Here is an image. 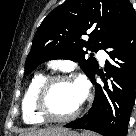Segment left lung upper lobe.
Returning a JSON list of instances; mask_svg holds the SVG:
<instances>
[{"label": "left lung upper lobe", "instance_id": "obj_1", "mask_svg": "<svg viewBox=\"0 0 136 136\" xmlns=\"http://www.w3.org/2000/svg\"><path fill=\"white\" fill-rule=\"evenodd\" d=\"M132 7L129 0H66L52 10L38 28L26 60L25 74L52 59L79 62L90 78L97 70L88 50L103 49ZM89 36L88 40L82 38Z\"/></svg>", "mask_w": 136, "mask_h": 136}]
</instances>
